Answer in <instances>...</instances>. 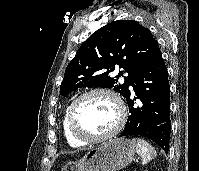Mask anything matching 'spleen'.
<instances>
[{
  "mask_svg": "<svg viewBox=\"0 0 199 171\" xmlns=\"http://www.w3.org/2000/svg\"><path fill=\"white\" fill-rule=\"evenodd\" d=\"M132 142L136 147V151L139 156H141L142 165L147 164L153 158L156 157L157 153L155 149L144 139L141 138H133Z\"/></svg>",
  "mask_w": 199,
  "mask_h": 171,
  "instance_id": "obj_1",
  "label": "spleen"
}]
</instances>
